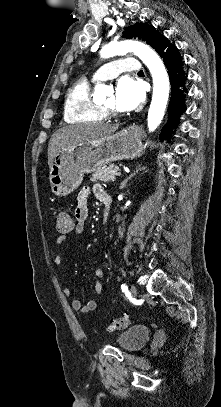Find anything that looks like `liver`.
Masks as SVG:
<instances>
[{
	"label": "liver",
	"mask_w": 221,
	"mask_h": 407,
	"mask_svg": "<svg viewBox=\"0 0 221 407\" xmlns=\"http://www.w3.org/2000/svg\"><path fill=\"white\" fill-rule=\"evenodd\" d=\"M118 128V125L87 123L68 125L58 129L52 135L48 144L49 168L53 159L61 149L80 142L95 141L99 138L113 134Z\"/></svg>",
	"instance_id": "6515ba94"
}]
</instances>
